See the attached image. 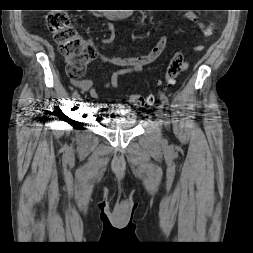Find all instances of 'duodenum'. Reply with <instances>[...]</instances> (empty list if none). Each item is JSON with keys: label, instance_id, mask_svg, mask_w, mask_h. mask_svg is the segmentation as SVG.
I'll return each instance as SVG.
<instances>
[{"label": "duodenum", "instance_id": "obj_1", "mask_svg": "<svg viewBox=\"0 0 253 253\" xmlns=\"http://www.w3.org/2000/svg\"><path fill=\"white\" fill-rule=\"evenodd\" d=\"M130 14L129 11L125 9H106L102 15H104L108 19H123L128 17Z\"/></svg>", "mask_w": 253, "mask_h": 253}]
</instances>
